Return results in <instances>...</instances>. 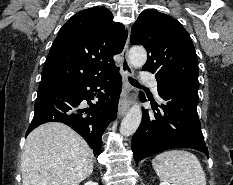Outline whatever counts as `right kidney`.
<instances>
[{"instance_id": "ca27d5eb", "label": "right kidney", "mask_w": 233, "mask_h": 185, "mask_svg": "<svg viewBox=\"0 0 233 185\" xmlns=\"http://www.w3.org/2000/svg\"><path fill=\"white\" fill-rule=\"evenodd\" d=\"M84 185H98V183L94 181H88Z\"/></svg>"}]
</instances>
